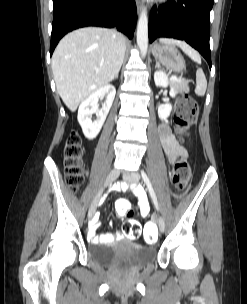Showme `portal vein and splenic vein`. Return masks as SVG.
<instances>
[{
  "label": "portal vein and splenic vein",
  "instance_id": "portal-vein-and-splenic-vein-1",
  "mask_svg": "<svg viewBox=\"0 0 247 304\" xmlns=\"http://www.w3.org/2000/svg\"><path fill=\"white\" fill-rule=\"evenodd\" d=\"M170 79H171L172 81H176V80H178L179 78H178L177 76H172Z\"/></svg>",
  "mask_w": 247,
  "mask_h": 304
}]
</instances>
